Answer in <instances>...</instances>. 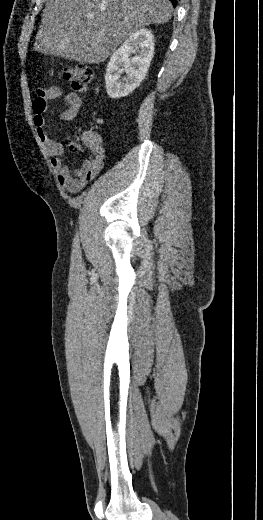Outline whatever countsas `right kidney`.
Returning a JSON list of instances; mask_svg holds the SVG:
<instances>
[{"mask_svg":"<svg viewBox=\"0 0 263 520\" xmlns=\"http://www.w3.org/2000/svg\"><path fill=\"white\" fill-rule=\"evenodd\" d=\"M154 53V35L140 29L132 34L110 57L105 82L110 98L118 99L132 93L145 78ZM135 54L134 57H130ZM126 73L125 76H121Z\"/></svg>","mask_w":263,"mask_h":520,"instance_id":"right-kidney-1","label":"right kidney"}]
</instances>
